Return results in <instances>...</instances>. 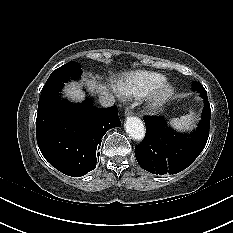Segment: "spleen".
<instances>
[{
  "instance_id": "3e777b00",
  "label": "spleen",
  "mask_w": 233,
  "mask_h": 233,
  "mask_svg": "<svg viewBox=\"0 0 233 233\" xmlns=\"http://www.w3.org/2000/svg\"><path fill=\"white\" fill-rule=\"evenodd\" d=\"M170 125L179 131L191 130L195 126V115L190 111V113L185 116L171 119Z\"/></svg>"
}]
</instances>
